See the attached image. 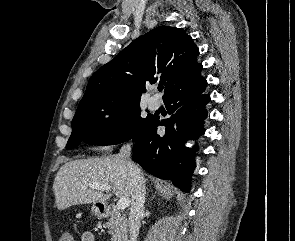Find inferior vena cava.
Instances as JSON below:
<instances>
[{
    "instance_id": "602c4592",
    "label": "inferior vena cava",
    "mask_w": 295,
    "mask_h": 241,
    "mask_svg": "<svg viewBox=\"0 0 295 241\" xmlns=\"http://www.w3.org/2000/svg\"><path fill=\"white\" fill-rule=\"evenodd\" d=\"M130 155V144L122 146L118 156L126 162L133 184L132 203L129 213L130 241H137L140 228V220L144 212L145 182L141 170L131 162Z\"/></svg>"
}]
</instances>
